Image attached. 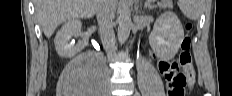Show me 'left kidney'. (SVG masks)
<instances>
[{
    "mask_svg": "<svg viewBox=\"0 0 232 96\" xmlns=\"http://www.w3.org/2000/svg\"><path fill=\"white\" fill-rule=\"evenodd\" d=\"M184 39L182 24L175 13L167 11L155 22L149 43L155 54L163 60L174 58Z\"/></svg>",
    "mask_w": 232,
    "mask_h": 96,
    "instance_id": "left-kidney-1",
    "label": "left kidney"
}]
</instances>
